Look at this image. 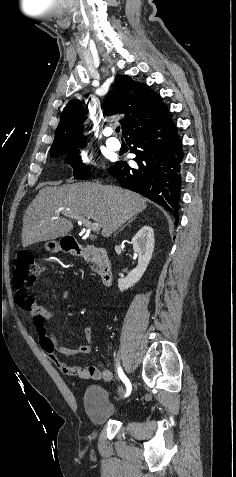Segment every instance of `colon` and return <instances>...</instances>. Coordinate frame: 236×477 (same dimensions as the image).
I'll list each match as a JSON object with an SVG mask.
<instances>
[{
  "instance_id": "colon-1",
  "label": "colon",
  "mask_w": 236,
  "mask_h": 477,
  "mask_svg": "<svg viewBox=\"0 0 236 477\" xmlns=\"http://www.w3.org/2000/svg\"><path fill=\"white\" fill-rule=\"evenodd\" d=\"M40 272L41 268L33 253L23 251L17 254L13 280L17 290L16 301L19 307H26L27 300L32 296L30 290L37 283Z\"/></svg>"
}]
</instances>
